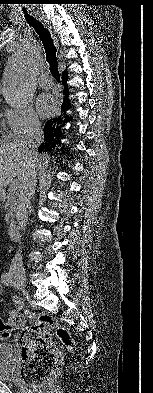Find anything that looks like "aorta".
Returning a JSON list of instances; mask_svg holds the SVG:
<instances>
[{
	"instance_id": "obj_1",
	"label": "aorta",
	"mask_w": 153,
	"mask_h": 393,
	"mask_svg": "<svg viewBox=\"0 0 153 393\" xmlns=\"http://www.w3.org/2000/svg\"><path fill=\"white\" fill-rule=\"evenodd\" d=\"M40 58V48L33 40L23 41L9 57L2 92L9 105L14 108L26 107L35 92V72ZM41 164L48 166L49 155L44 153Z\"/></svg>"
}]
</instances>
